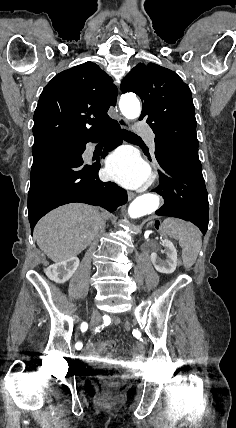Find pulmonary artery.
<instances>
[{"instance_id":"pulmonary-artery-1","label":"pulmonary artery","mask_w":236,"mask_h":428,"mask_svg":"<svg viewBox=\"0 0 236 428\" xmlns=\"http://www.w3.org/2000/svg\"><path fill=\"white\" fill-rule=\"evenodd\" d=\"M148 142L151 145H154L155 144V135H152V136L148 137ZM90 149H92V148H90Z\"/></svg>"}]
</instances>
